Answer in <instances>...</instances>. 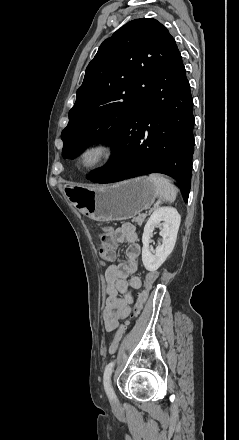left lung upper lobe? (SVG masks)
Instances as JSON below:
<instances>
[{"label":"left lung upper lobe","mask_w":239,"mask_h":440,"mask_svg":"<svg viewBox=\"0 0 239 440\" xmlns=\"http://www.w3.org/2000/svg\"><path fill=\"white\" fill-rule=\"evenodd\" d=\"M175 48L166 27L151 18L132 20L103 41L62 131V156L74 158L93 143H111Z\"/></svg>","instance_id":"5c2ea615"}]
</instances>
